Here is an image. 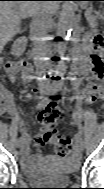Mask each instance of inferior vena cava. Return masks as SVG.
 Wrapping results in <instances>:
<instances>
[{
  "label": "inferior vena cava",
  "mask_w": 104,
  "mask_h": 189,
  "mask_svg": "<svg viewBox=\"0 0 104 189\" xmlns=\"http://www.w3.org/2000/svg\"><path fill=\"white\" fill-rule=\"evenodd\" d=\"M48 15L46 10L41 9L33 14L30 26V33L34 39V51L36 65L38 66V83H41V88H48L50 82L48 80V62L44 61V56L48 48V43L44 36L48 30Z\"/></svg>",
  "instance_id": "1"
}]
</instances>
